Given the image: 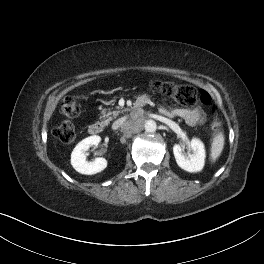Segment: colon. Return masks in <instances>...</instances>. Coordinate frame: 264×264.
<instances>
[{
	"label": "colon",
	"mask_w": 264,
	"mask_h": 264,
	"mask_svg": "<svg viewBox=\"0 0 264 264\" xmlns=\"http://www.w3.org/2000/svg\"><path fill=\"white\" fill-rule=\"evenodd\" d=\"M152 87L164 95L174 99L177 103L183 106L193 105L200 102L204 105H210L211 99L205 92L198 93L192 86L178 84L172 81H154ZM212 113V126L218 128L220 120L215 108L210 105ZM62 114L68 117H75L79 114V106L73 96H66L60 105ZM54 136L63 143L69 144L75 141V127L70 122H64L56 127L53 131Z\"/></svg>",
	"instance_id": "5ec220e1"
}]
</instances>
